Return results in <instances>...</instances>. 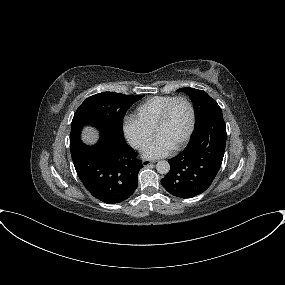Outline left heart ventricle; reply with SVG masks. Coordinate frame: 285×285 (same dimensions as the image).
I'll return each mask as SVG.
<instances>
[{"mask_svg": "<svg viewBox=\"0 0 285 285\" xmlns=\"http://www.w3.org/2000/svg\"><path fill=\"white\" fill-rule=\"evenodd\" d=\"M190 125V110L183 101L176 102L165 123L159 128L156 136L163 138L172 147L185 137Z\"/></svg>", "mask_w": 285, "mask_h": 285, "instance_id": "b2bd125f", "label": "left heart ventricle"}]
</instances>
